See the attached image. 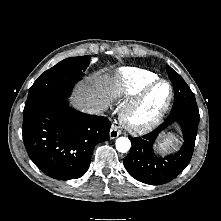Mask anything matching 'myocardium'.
<instances>
[{"label": "myocardium", "mask_w": 221, "mask_h": 221, "mask_svg": "<svg viewBox=\"0 0 221 221\" xmlns=\"http://www.w3.org/2000/svg\"><path fill=\"white\" fill-rule=\"evenodd\" d=\"M160 84L168 85L169 92L166 99L147 116H143L142 113L150 101L152 92ZM173 97L174 89L169 81L164 79L155 80L141 92L139 97L128 108L124 110L122 118L126 128L135 133H143L151 130L162 120L172 103Z\"/></svg>", "instance_id": "obj_1"}]
</instances>
